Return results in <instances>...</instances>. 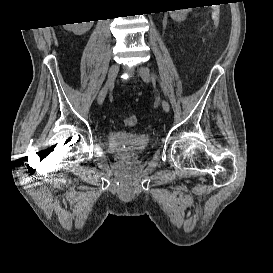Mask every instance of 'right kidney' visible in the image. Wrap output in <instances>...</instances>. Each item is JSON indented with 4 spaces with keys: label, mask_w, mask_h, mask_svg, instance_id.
I'll return each mask as SVG.
<instances>
[{
    "label": "right kidney",
    "mask_w": 273,
    "mask_h": 273,
    "mask_svg": "<svg viewBox=\"0 0 273 273\" xmlns=\"http://www.w3.org/2000/svg\"><path fill=\"white\" fill-rule=\"evenodd\" d=\"M75 25H77V26L72 27L71 30L75 34H84L85 32H87L92 27L93 21L82 22V23H75Z\"/></svg>",
    "instance_id": "ca27d5eb"
}]
</instances>
